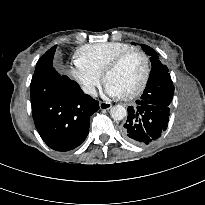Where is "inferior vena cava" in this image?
Instances as JSON below:
<instances>
[{"instance_id":"602c4592","label":"inferior vena cava","mask_w":205,"mask_h":205,"mask_svg":"<svg viewBox=\"0 0 205 205\" xmlns=\"http://www.w3.org/2000/svg\"><path fill=\"white\" fill-rule=\"evenodd\" d=\"M82 90L84 91V93L89 94V95H91V96H93V97H96V96H97V92H96L94 86H91V85H89V86H83V87H82Z\"/></svg>"}]
</instances>
